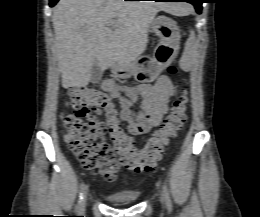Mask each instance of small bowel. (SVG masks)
Instances as JSON below:
<instances>
[{
    "label": "small bowel",
    "mask_w": 260,
    "mask_h": 217,
    "mask_svg": "<svg viewBox=\"0 0 260 217\" xmlns=\"http://www.w3.org/2000/svg\"><path fill=\"white\" fill-rule=\"evenodd\" d=\"M101 88L118 99L120 119L126 123L131 134H146L157 127L175 94L174 84L167 75L159 77L154 84L137 86L105 80ZM137 102L139 110L134 108Z\"/></svg>",
    "instance_id": "obj_1"
}]
</instances>
